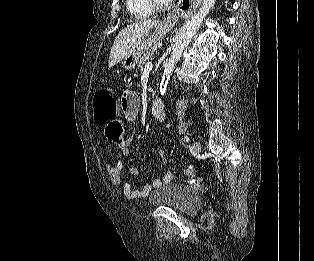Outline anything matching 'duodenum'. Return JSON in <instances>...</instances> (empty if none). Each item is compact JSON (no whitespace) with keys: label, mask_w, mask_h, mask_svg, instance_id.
<instances>
[{"label":"duodenum","mask_w":314,"mask_h":261,"mask_svg":"<svg viewBox=\"0 0 314 261\" xmlns=\"http://www.w3.org/2000/svg\"><path fill=\"white\" fill-rule=\"evenodd\" d=\"M164 112V103L160 99L155 98L151 104V114L153 118L160 120L164 116Z\"/></svg>","instance_id":"410a0bca"}]
</instances>
